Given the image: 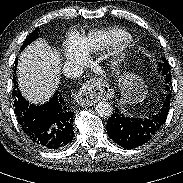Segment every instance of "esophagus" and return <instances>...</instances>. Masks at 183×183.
Here are the masks:
<instances>
[{
  "mask_svg": "<svg viewBox=\"0 0 183 183\" xmlns=\"http://www.w3.org/2000/svg\"><path fill=\"white\" fill-rule=\"evenodd\" d=\"M114 96L110 85L104 84L98 79H91L85 83L77 94V102L80 106H92L99 100H108Z\"/></svg>",
  "mask_w": 183,
  "mask_h": 183,
  "instance_id": "1",
  "label": "esophagus"
}]
</instances>
